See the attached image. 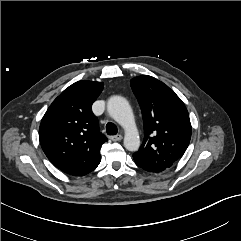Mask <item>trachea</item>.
I'll list each match as a JSON object with an SVG mask.
<instances>
[{
	"label": "trachea",
	"instance_id": "1",
	"mask_svg": "<svg viewBox=\"0 0 241 241\" xmlns=\"http://www.w3.org/2000/svg\"><path fill=\"white\" fill-rule=\"evenodd\" d=\"M106 132L108 135H116L118 132L116 125L112 122H108L106 124Z\"/></svg>",
	"mask_w": 241,
	"mask_h": 241
}]
</instances>
